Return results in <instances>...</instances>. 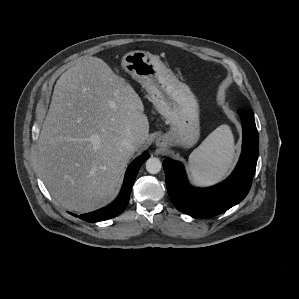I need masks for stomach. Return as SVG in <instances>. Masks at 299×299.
<instances>
[{"label": "stomach", "mask_w": 299, "mask_h": 299, "mask_svg": "<svg viewBox=\"0 0 299 299\" xmlns=\"http://www.w3.org/2000/svg\"><path fill=\"white\" fill-rule=\"evenodd\" d=\"M122 67L146 89L156 110L170 124V130L157 144L193 146L199 139L200 125L198 102L190 88L149 52L137 50L125 54Z\"/></svg>", "instance_id": "1"}]
</instances>
